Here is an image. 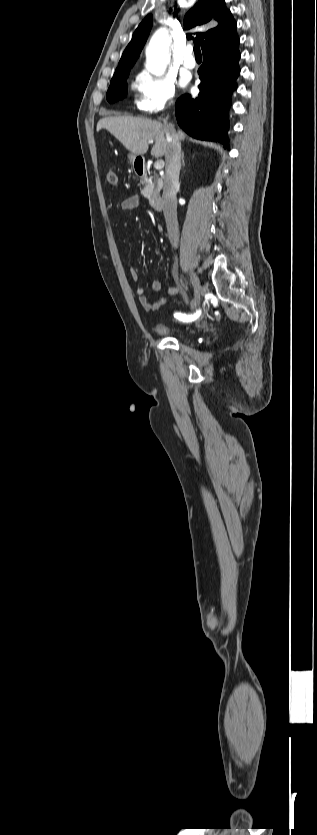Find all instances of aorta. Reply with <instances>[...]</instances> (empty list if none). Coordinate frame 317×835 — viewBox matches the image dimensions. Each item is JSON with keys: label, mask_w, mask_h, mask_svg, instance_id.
Masks as SVG:
<instances>
[{"label": "aorta", "mask_w": 317, "mask_h": 835, "mask_svg": "<svg viewBox=\"0 0 317 835\" xmlns=\"http://www.w3.org/2000/svg\"><path fill=\"white\" fill-rule=\"evenodd\" d=\"M171 37L166 28L158 29L146 48V69L154 76L165 73L170 61Z\"/></svg>", "instance_id": "obj_1"}]
</instances>
